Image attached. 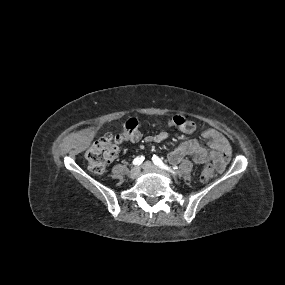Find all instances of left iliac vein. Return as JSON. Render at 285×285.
Wrapping results in <instances>:
<instances>
[{
  "mask_svg": "<svg viewBox=\"0 0 285 285\" xmlns=\"http://www.w3.org/2000/svg\"><path fill=\"white\" fill-rule=\"evenodd\" d=\"M142 168L145 169V170H148V171H156V172H159V173H163L162 170L157 169L151 162H145L142 165Z\"/></svg>",
  "mask_w": 285,
  "mask_h": 285,
  "instance_id": "left-iliac-vein-1",
  "label": "left iliac vein"
}]
</instances>
